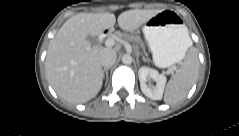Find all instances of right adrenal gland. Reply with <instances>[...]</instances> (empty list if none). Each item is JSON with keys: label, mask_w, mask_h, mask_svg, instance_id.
<instances>
[{"label": "right adrenal gland", "mask_w": 239, "mask_h": 136, "mask_svg": "<svg viewBox=\"0 0 239 136\" xmlns=\"http://www.w3.org/2000/svg\"><path fill=\"white\" fill-rule=\"evenodd\" d=\"M109 69H110V68L107 67V68H104L103 71H102L103 78L105 77V74H106V84H107V82H108V70H109Z\"/></svg>", "instance_id": "2a0ac1e0"}]
</instances>
